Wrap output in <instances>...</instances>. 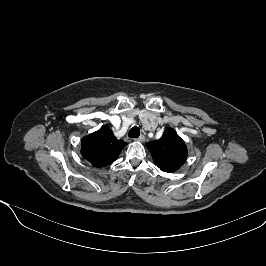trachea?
<instances>
[{"instance_id": "obj_1", "label": "trachea", "mask_w": 266, "mask_h": 266, "mask_svg": "<svg viewBox=\"0 0 266 266\" xmlns=\"http://www.w3.org/2000/svg\"><path fill=\"white\" fill-rule=\"evenodd\" d=\"M128 135H129L130 138H138L140 136L139 128L134 126L133 128L130 129Z\"/></svg>"}]
</instances>
